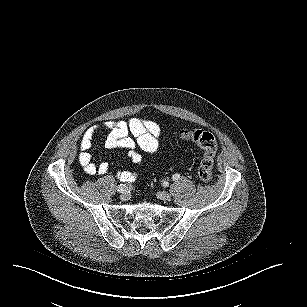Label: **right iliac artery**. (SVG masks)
I'll use <instances>...</instances> for the list:
<instances>
[{"label":"right iliac artery","instance_id":"82829eb1","mask_svg":"<svg viewBox=\"0 0 307 307\" xmlns=\"http://www.w3.org/2000/svg\"><path fill=\"white\" fill-rule=\"evenodd\" d=\"M124 189H125V186L123 185V184H120V185H118V187H117V191L118 192H122V191H124Z\"/></svg>","mask_w":307,"mask_h":307}]
</instances>
